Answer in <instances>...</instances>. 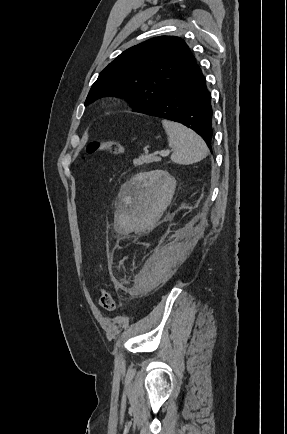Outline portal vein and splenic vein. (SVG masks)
Segmentation results:
<instances>
[{
  "instance_id": "obj_1",
  "label": "portal vein and splenic vein",
  "mask_w": 287,
  "mask_h": 434,
  "mask_svg": "<svg viewBox=\"0 0 287 434\" xmlns=\"http://www.w3.org/2000/svg\"><path fill=\"white\" fill-rule=\"evenodd\" d=\"M160 156H162V157H164V156H167V155H169L170 154V151L169 150H162V151H159V152H157Z\"/></svg>"
}]
</instances>
